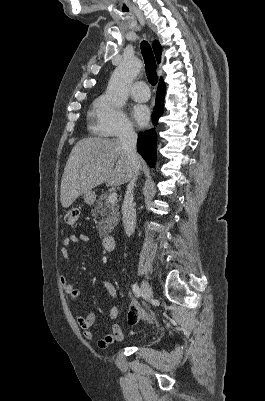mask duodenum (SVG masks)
<instances>
[{"mask_svg": "<svg viewBox=\"0 0 265 401\" xmlns=\"http://www.w3.org/2000/svg\"><path fill=\"white\" fill-rule=\"evenodd\" d=\"M103 246L107 251L114 250L116 246V238L112 235H107L103 239Z\"/></svg>", "mask_w": 265, "mask_h": 401, "instance_id": "410a0bca", "label": "duodenum"}]
</instances>
